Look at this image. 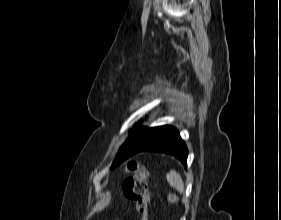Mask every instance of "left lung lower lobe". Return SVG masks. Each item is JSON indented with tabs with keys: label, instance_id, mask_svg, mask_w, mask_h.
I'll return each mask as SVG.
<instances>
[{
	"label": "left lung lower lobe",
	"instance_id": "0a47b994",
	"mask_svg": "<svg viewBox=\"0 0 281 220\" xmlns=\"http://www.w3.org/2000/svg\"><path fill=\"white\" fill-rule=\"evenodd\" d=\"M142 151L173 155L186 166L188 155L187 147L181 139L179 132L171 126L158 127L153 137L140 147L137 152Z\"/></svg>",
	"mask_w": 281,
	"mask_h": 220
}]
</instances>
